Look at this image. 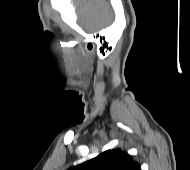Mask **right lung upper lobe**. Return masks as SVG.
I'll return each mask as SVG.
<instances>
[{"label":"right lung upper lobe","instance_id":"right-lung-upper-lobe-1","mask_svg":"<svg viewBox=\"0 0 190 170\" xmlns=\"http://www.w3.org/2000/svg\"><path fill=\"white\" fill-rule=\"evenodd\" d=\"M68 170H141L139 164L121 149L107 150Z\"/></svg>","mask_w":190,"mask_h":170}]
</instances>
